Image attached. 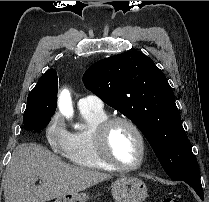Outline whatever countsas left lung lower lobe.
<instances>
[{
  "instance_id": "1",
  "label": "left lung lower lobe",
  "mask_w": 209,
  "mask_h": 202,
  "mask_svg": "<svg viewBox=\"0 0 209 202\" xmlns=\"http://www.w3.org/2000/svg\"><path fill=\"white\" fill-rule=\"evenodd\" d=\"M182 181H184L187 184H189L195 190V192L198 194V196L202 200L204 199V197H203V189H202L200 177H196V178H192V179H186V180H182Z\"/></svg>"
}]
</instances>
